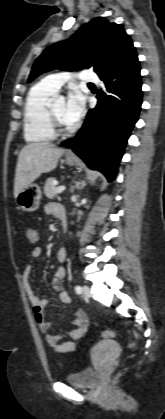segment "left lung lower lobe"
Instances as JSON below:
<instances>
[{
  "mask_svg": "<svg viewBox=\"0 0 165 419\" xmlns=\"http://www.w3.org/2000/svg\"><path fill=\"white\" fill-rule=\"evenodd\" d=\"M99 77L105 87L97 95V106L89 110L78 134L62 145L112 181L142 104L140 63L135 48Z\"/></svg>",
  "mask_w": 165,
  "mask_h": 419,
  "instance_id": "obj_1",
  "label": "left lung lower lobe"
}]
</instances>
